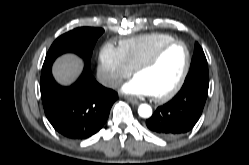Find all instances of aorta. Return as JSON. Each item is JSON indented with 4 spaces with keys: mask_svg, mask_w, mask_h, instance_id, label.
<instances>
[{
    "mask_svg": "<svg viewBox=\"0 0 249 165\" xmlns=\"http://www.w3.org/2000/svg\"><path fill=\"white\" fill-rule=\"evenodd\" d=\"M138 114L142 118H149L152 115V108L148 104H141L138 107Z\"/></svg>",
    "mask_w": 249,
    "mask_h": 165,
    "instance_id": "1",
    "label": "aorta"
}]
</instances>
